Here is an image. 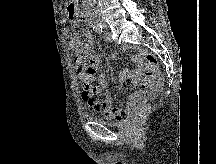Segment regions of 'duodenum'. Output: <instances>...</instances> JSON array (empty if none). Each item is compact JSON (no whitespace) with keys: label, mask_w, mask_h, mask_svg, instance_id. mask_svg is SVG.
Wrapping results in <instances>:
<instances>
[{"label":"duodenum","mask_w":216,"mask_h":164,"mask_svg":"<svg viewBox=\"0 0 216 164\" xmlns=\"http://www.w3.org/2000/svg\"><path fill=\"white\" fill-rule=\"evenodd\" d=\"M68 7H74V0H69V6ZM86 12L89 22L92 21V6L90 4L86 5Z\"/></svg>","instance_id":"duodenum-1"}]
</instances>
